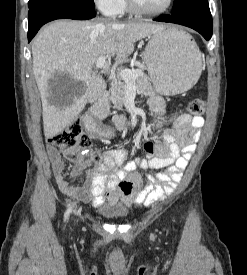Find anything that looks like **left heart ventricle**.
Instances as JSON below:
<instances>
[{
	"instance_id": "obj_1",
	"label": "left heart ventricle",
	"mask_w": 247,
	"mask_h": 275,
	"mask_svg": "<svg viewBox=\"0 0 247 275\" xmlns=\"http://www.w3.org/2000/svg\"><path fill=\"white\" fill-rule=\"evenodd\" d=\"M168 0H138L140 5L148 10H158L167 4Z\"/></svg>"
}]
</instances>
